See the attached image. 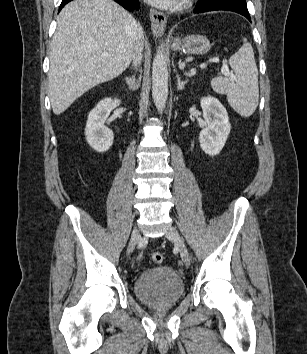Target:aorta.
<instances>
[{"label": "aorta", "mask_w": 307, "mask_h": 354, "mask_svg": "<svg viewBox=\"0 0 307 354\" xmlns=\"http://www.w3.org/2000/svg\"><path fill=\"white\" fill-rule=\"evenodd\" d=\"M168 77V61L161 45L152 64V96L160 113L164 110L168 97Z\"/></svg>", "instance_id": "aorta-1"}]
</instances>
